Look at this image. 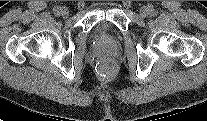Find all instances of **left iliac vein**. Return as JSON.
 <instances>
[{
  "label": "left iliac vein",
  "instance_id": "obj_1",
  "mask_svg": "<svg viewBox=\"0 0 207 121\" xmlns=\"http://www.w3.org/2000/svg\"><path fill=\"white\" fill-rule=\"evenodd\" d=\"M150 13H149V9L146 7V6H144V7H142L141 9H140V15L142 16V17H146V16H148Z\"/></svg>",
  "mask_w": 207,
  "mask_h": 121
}]
</instances>
